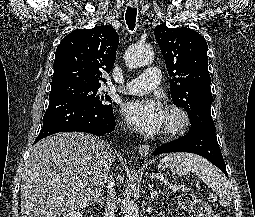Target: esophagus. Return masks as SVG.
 I'll return each instance as SVG.
<instances>
[{"label": "esophagus", "instance_id": "esophagus-1", "mask_svg": "<svg viewBox=\"0 0 255 217\" xmlns=\"http://www.w3.org/2000/svg\"><path fill=\"white\" fill-rule=\"evenodd\" d=\"M129 5L132 8H135L138 6V3L134 1H129ZM138 151L141 156H146L149 153V146L147 144L140 145Z\"/></svg>", "mask_w": 255, "mask_h": 217}]
</instances>
